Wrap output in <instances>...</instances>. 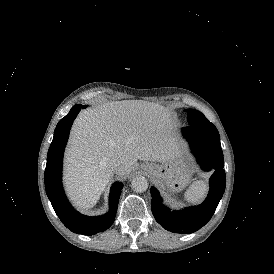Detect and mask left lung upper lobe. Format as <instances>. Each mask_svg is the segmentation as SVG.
Returning <instances> with one entry per match:
<instances>
[{"label": "left lung upper lobe", "instance_id": "1", "mask_svg": "<svg viewBox=\"0 0 274 274\" xmlns=\"http://www.w3.org/2000/svg\"><path fill=\"white\" fill-rule=\"evenodd\" d=\"M188 113V123L202 129H216V127L199 111L193 109H186Z\"/></svg>", "mask_w": 274, "mask_h": 274}]
</instances>
